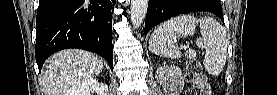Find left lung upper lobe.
<instances>
[{
    "mask_svg": "<svg viewBox=\"0 0 277 95\" xmlns=\"http://www.w3.org/2000/svg\"><path fill=\"white\" fill-rule=\"evenodd\" d=\"M189 1H191V2H194V1H196V0H189ZM209 5H220V2H219V0H214V1H210V4Z\"/></svg>",
    "mask_w": 277,
    "mask_h": 95,
    "instance_id": "left-lung-upper-lobe-1",
    "label": "left lung upper lobe"
}]
</instances>
